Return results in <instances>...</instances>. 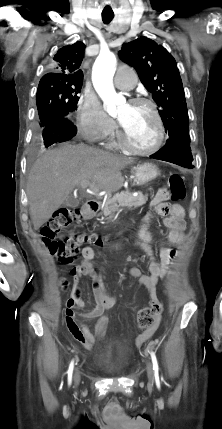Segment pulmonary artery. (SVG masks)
<instances>
[{
	"label": "pulmonary artery",
	"instance_id": "pulmonary-artery-1",
	"mask_svg": "<svg viewBox=\"0 0 222 429\" xmlns=\"http://www.w3.org/2000/svg\"><path fill=\"white\" fill-rule=\"evenodd\" d=\"M114 82L119 89L131 90L136 85L137 77L132 68L124 66L117 70Z\"/></svg>",
	"mask_w": 222,
	"mask_h": 429
}]
</instances>
